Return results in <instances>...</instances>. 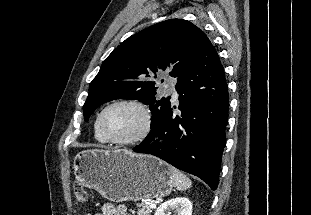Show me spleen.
<instances>
[{"label": "spleen", "instance_id": "1", "mask_svg": "<svg viewBox=\"0 0 311 215\" xmlns=\"http://www.w3.org/2000/svg\"><path fill=\"white\" fill-rule=\"evenodd\" d=\"M171 178L175 188L179 191H184L192 186L191 180L180 170L169 166Z\"/></svg>", "mask_w": 311, "mask_h": 215}]
</instances>
